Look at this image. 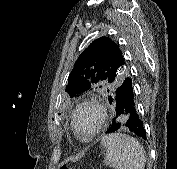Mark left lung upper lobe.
<instances>
[{"mask_svg":"<svg viewBox=\"0 0 177 169\" xmlns=\"http://www.w3.org/2000/svg\"><path fill=\"white\" fill-rule=\"evenodd\" d=\"M126 75V61L119 45L108 37H101L81 53L69 74L66 91L72 96L99 90L112 96Z\"/></svg>","mask_w":177,"mask_h":169,"instance_id":"left-lung-upper-lobe-1","label":"left lung upper lobe"}]
</instances>
